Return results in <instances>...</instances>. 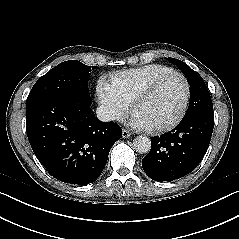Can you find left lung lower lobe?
<instances>
[{"label":"left lung lower lobe","instance_id":"left-lung-lower-lobe-1","mask_svg":"<svg viewBox=\"0 0 239 239\" xmlns=\"http://www.w3.org/2000/svg\"><path fill=\"white\" fill-rule=\"evenodd\" d=\"M214 113L185 117L170 132L151 138V150L142 159L153 180L173 181L192 172L205 155L213 132Z\"/></svg>","mask_w":239,"mask_h":239}]
</instances>
